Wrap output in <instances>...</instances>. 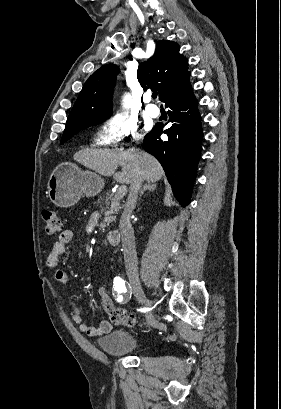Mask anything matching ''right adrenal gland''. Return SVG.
Segmentation results:
<instances>
[{"mask_svg":"<svg viewBox=\"0 0 281 409\" xmlns=\"http://www.w3.org/2000/svg\"><path fill=\"white\" fill-rule=\"evenodd\" d=\"M156 188H157L156 182H151V180H148L147 184H144L143 188H141L139 196H142L145 190H156Z\"/></svg>","mask_w":281,"mask_h":409,"instance_id":"obj_1","label":"right adrenal gland"}]
</instances>
